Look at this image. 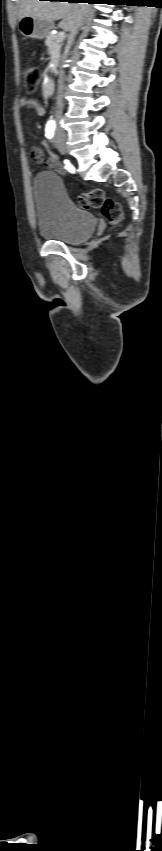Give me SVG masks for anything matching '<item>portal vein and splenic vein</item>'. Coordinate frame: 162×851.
Returning a JSON list of instances; mask_svg holds the SVG:
<instances>
[{
    "label": "portal vein and splenic vein",
    "mask_w": 162,
    "mask_h": 851,
    "mask_svg": "<svg viewBox=\"0 0 162 851\" xmlns=\"http://www.w3.org/2000/svg\"><path fill=\"white\" fill-rule=\"evenodd\" d=\"M59 37H60L61 39H64V37H65V31H61V32L59 33Z\"/></svg>",
    "instance_id": "obj_1"
}]
</instances>
